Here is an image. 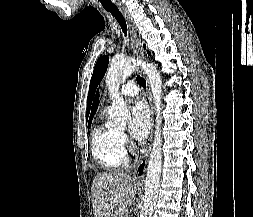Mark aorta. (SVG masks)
Listing matches in <instances>:
<instances>
[{
    "instance_id": "aorta-1",
    "label": "aorta",
    "mask_w": 253,
    "mask_h": 217,
    "mask_svg": "<svg viewBox=\"0 0 253 217\" xmlns=\"http://www.w3.org/2000/svg\"><path fill=\"white\" fill-rule=\"evenodd\" d=\"M141 66L147 74L155 104L156 124L154 141L148 162L145 178V194L140 217H152L153 210L158 197V187L162 170V137H161V110H162V80L157 68L150 63H142L132 58L112 62L107 75L106 82L112 104L109 110L110 122L117 127H124L130 119L129 109L120 97V84L131 75L138 66Z\"/></svg>"
}]
</instances>
